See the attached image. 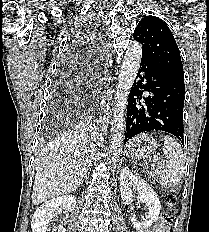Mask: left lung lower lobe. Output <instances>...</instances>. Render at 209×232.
<instances>
[{
  "label": "left lung lower lobe",
  "instance_id": "left-lung-lower-lobe-1",
  "mask_svg": "<svg viewBox=\"0 0 209 232\" xmlns=\"http://www.w3.org/2000/svg\"><path fill=\"white\" fill-rule=\"evenodd\" d=\"M136 78L128 99L124 142L139 133L159 130L174 135L184 144V80L164 74L143 58ZM144 92L149 95L143 96Z\"/></svg>",
  "mask_w": 209,
  "mask_h": 232
}]
</instances>
